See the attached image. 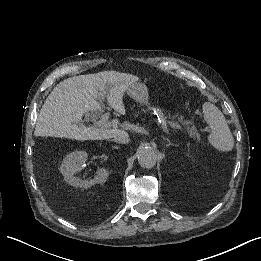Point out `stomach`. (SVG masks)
<instances>
[{"mask_svg":"<svg viewBox=\"0 0 261 261\" xmlns=\"http://www.w3.org/2000/svg\"><path fill=\"white\" fill-rule=\"evenodd\" d=\"M126 91L128 95L138 103L150 105L148 89L144 84L139 82L133 83Z\"/></svg>","mask_w":261,"mask_h":261,"instance_id":"0dacf381","label":"stomach"}]
</instances>
